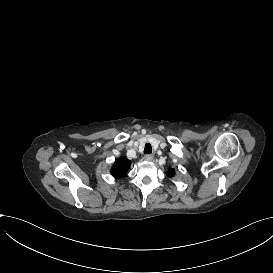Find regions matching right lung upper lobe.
I'll list each match as a JSON object with an SVG mask.
<instances>
[{
    "instance_id": "1",
    "label": "right lung upper lobe",
    "mask_w": 273,
    "mask_h": 273,
    "mask_svg": "<svg viewBox=\"0 0 273 273\" xmlns=\"http://www.w3.org/2000/svg\"><path fill=\"white\" fill-rule=\"evenodd\" d=\"M129 166L130 161L124 158H119L116 160L114 166L112 167L111 173L113 174L114 177L120 178L125 175Z\"/></svg>"
}]
</instances>
